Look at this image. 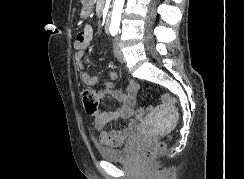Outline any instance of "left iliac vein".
Instances as JSON below:
<instances>
[{"mask_svg":"<svg viewBox=\"0 0 244 179\" xmlns=\"http://www.w3.org/2000/svg\"><path fill=\"white\" fill-rule=\"evenodd\" d=\"M119 41H120L119 38H117L115 40V43H114V53H115V56H116L117 60L120 63H124L125 62V58H124V56L122 54Z\"/></svg>","mask_w":244,"mask_h":179,"instance_id":"1","label":"left iliac vein"}]
</instances>
